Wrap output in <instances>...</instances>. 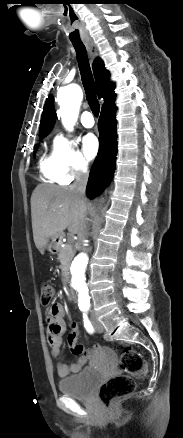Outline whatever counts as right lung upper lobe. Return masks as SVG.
<instances>
[{
	"mask_svg": "<svg viewBox=\"0 0 183 438\" xmlns=\"http://www.w3.org/2000/svg\"><path fill=\"white\" fill-rule=\"evenodd\" d=\"M94 77L96 81L97 95L104 97V107L113 103L116 94L114 93V84L109 81L110 74L104 68V64L101 59H96L93 63ZM42 113L39 136L47 135L51 131L54 125L55 111L53 108L52 96H49L46 100Z\"/></svg>",
	"mask_w": 183,
	"mask_h": 438,
	"instance_id": "obj_1",
	"label": "right lung upper lobe"
}]
</instances>
